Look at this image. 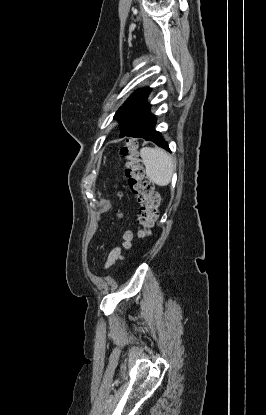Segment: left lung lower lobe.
Wrapping results in <instances>:
<instances>
[{"label":"left lung lower lobe","instance_id":"1","mask_svg":"<svg viewBox=\"0 0 266 415\" xmlns=\"http://www.w3.org/2000/svg\"><path fill=\"white\" fill-rule=\"evenodd\" d=\"M138 137L144 138L147 141H152L155 144H157L159 147L169 151L167 141L164 140L161 133L158 132V131H153V132H150V133H145V134L136 136V138H138Z\"/></svg>","mask_w":266,"mask_h":415}]
</instances>
